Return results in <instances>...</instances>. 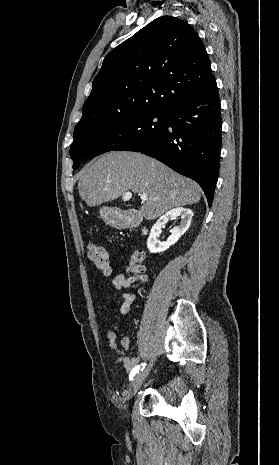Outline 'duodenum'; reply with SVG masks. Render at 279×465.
<instances>
[{"mask_svg": "<svg viewBox=\"0 0 279 465\" xmlns=\"http://www.w3.org/2000/svg\"><path fill=\"white\" fill-rule=\"evenodd\" d=\"M140 222V218L135 213H130L126 215L122 220V225L126 228L134 227L138 225Z\"/></svg>", "mask_w": 279, "mask_h": 465, "instance_id": "1", "label": "duodenum"}]
</instances>
